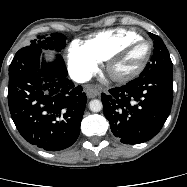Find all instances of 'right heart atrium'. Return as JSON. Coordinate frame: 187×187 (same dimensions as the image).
Returning a JSON list of instances; mask_svg holds the SVG:
<instances>
[{
  "label": "right heart atrium",
  "instance_id": "d8ad5b80",
  "mask_svg": "<svg viewBox=\"0 0 187 187\" xmlns=\"http://www.w3.org/2000/svg\"><path fill=\"white\" fill-rule=\"evenodd\" d=\"M68 67L79 81H85L97 70L99 61L78 40L73 41L67 52Z\"/></svg>",
  "mask_w": 187,
  "mask_h": 187
}]
</instances>
